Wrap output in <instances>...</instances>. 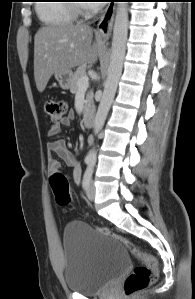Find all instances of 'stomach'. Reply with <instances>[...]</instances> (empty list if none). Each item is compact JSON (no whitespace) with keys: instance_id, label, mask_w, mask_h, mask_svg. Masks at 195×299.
I'll return each mask as SVG.
<instances>
[{"instance_id":"1","label":"stomach","mask_w":195,"mask_h":299,"mask_svg":"<svg viewBox=\"0 0 195 299\" xmlns=\"http://www.w3.org/2000/svg\"><path fill=\"white\" fill-rule=\"evenodd\" d=\"M73 73L71 70L63 72V73H56L55 79L59 83L60 87L64 90L70 88L72 83Z\"/></svg>"}]
</instances>
